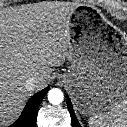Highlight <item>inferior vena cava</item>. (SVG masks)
<instances>
[{
	"label": "inferior vena cava",
	"mask_w": 127,
	"mask_h": 127,
	"mask_svg": "<svg viewBox=\"0 0 127 127\" xmlns=\"http://www.w3.org/2000/svg\"><path fill=\"white\" fill-rule=\"evenodd\" d=\"M37 79H38V77L29 78L26 82V87L32 88L35 85V83L37 82Z\"/></svg>",
	"instance_id": "inferior-vena-cava-1"
}]
</instances>
